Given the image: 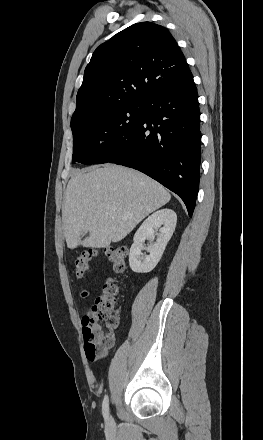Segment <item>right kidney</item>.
<instances>
[{"label": "right kidney", "mask_w": 263, "mask_h": 440, "mask_svg": "<svg viewBox=\"0 0 263 440\" xmlns=\"http://www.w3.org/2000/svg\"><path fill=\"white\" fill-rule=\"evenodd\" d=\"M177 215L171 209H161L150 215L139 227L134 235V242L130 248L129 265L136 273L152 271L160 261L167 243L171 239L176 227ZM160 229V233L155 230ZM156 238V242L148 246L150 255L142 260L143 243L147 238Z\"/></svg>", "instance_id": "right-kidney-1"}]
</instances>
